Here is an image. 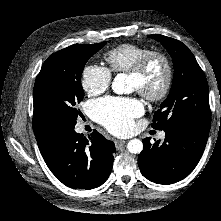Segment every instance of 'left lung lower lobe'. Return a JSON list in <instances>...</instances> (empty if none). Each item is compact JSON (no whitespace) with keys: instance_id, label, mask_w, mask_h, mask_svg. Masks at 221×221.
Returning a JSON list of instances; mask_svg holds the SVG:
<instances>
[{"instance_id":"0a47b994","label":"left lung lower lobe","mask_w":221,"mask_h":221,"mask_svg":"<svg viewBox=\"0 0 221 221\" xmlns=\"http://www.w3.org/2000/svg\"><path fill=\"white\" fill-rule=\"evenodd\" d=\"M164 141H143V151L138 158L141 173L158 184H172L188 176L198 164L209 135V130L177 125L164 130Z\"/></svg>"}]
</instances>
